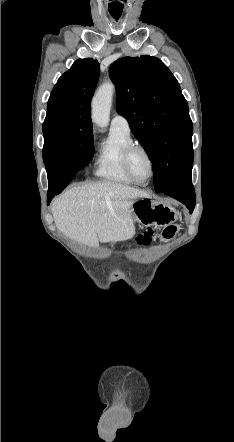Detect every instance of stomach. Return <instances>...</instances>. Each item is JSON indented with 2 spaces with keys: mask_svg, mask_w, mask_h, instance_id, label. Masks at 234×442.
Wrapping results in <instances>:
<instances>
[{
  "mask_svg": "<svg viewBox=\"0 0 234 442\" xmlns=\"http://www.w3.org/2000/svg\"><path fill=\"white\" fill-rule=\"evenodd\" d=\"M131 212L133 222L144 226H166L178 219V214L170 203L158 202L149 197L135 200Z\"/></svg>",
  "mask_w": 234,
  "mask_h": 442,
  "instance_id": "1",
  "label": "stomach"
}]
</instances>
